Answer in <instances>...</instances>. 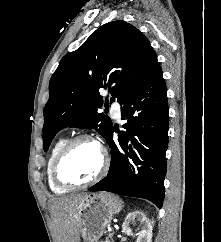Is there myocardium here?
Returning <instances> with one entry per match:
<instances>
[{"instance_id": "f54148a6", "label": "myocardium", "mask_w": 221, "mask_h": 242, "mask_svg": "<svg viewBox=\"0 0 221 242\" xmlns=\"http://www.w3.org/2000/svg\"><path fill=\"white\" fill-rule=\"evenodd\" d=\"M81 141H89V142H92L95 145H97V147L100 151V154H101L100 167H99L98 171L96 172V174L92 178H90L86 181H83V182L66 181L61 177V174H60L61 165H62L63 161L65 160L66 156L68 155V153L70 152V150L72 149V147ZM108 167H109V158H108V153H107L106 149L104 148V146L98 140H96L94 137L87 135V134H80V135H76V136L72 137L71 139L67 140L66 143L63 145V147L57 154L55 161L53 163L52 176H53L54 181L59 186L66 188V189H78V188H84V187L90 186V185L96 183L97 181H99L106 174Z\"/></svg>"}]
</instances>
